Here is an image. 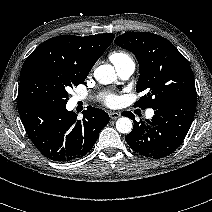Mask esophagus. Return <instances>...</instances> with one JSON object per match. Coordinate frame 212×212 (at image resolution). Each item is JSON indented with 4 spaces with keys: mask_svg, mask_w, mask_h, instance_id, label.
<instances>
[{
    "mask_svg": "<svg viewBox=\"0 0 212 212\" xmlns=\"http://www.w3.org/2000/svg\"><path fill=\"white\" fill-rule=\"evenodd\" d=\"M109 116H110V118H111L112 120H116L117 118L120 117V113H118V112H110V113H109Z\"/></svg>",
    "mask_w": 212,
    "mask_h": 212,
    "instance_id": "34e87169",
    "label": "esophagus"
}]
</instances>
